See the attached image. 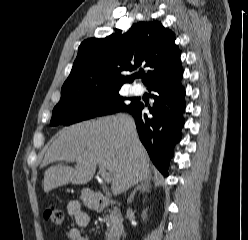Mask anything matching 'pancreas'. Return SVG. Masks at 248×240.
<instances>
[{"instance_id":"obj_1","label":"pancreas","mask_w":248,"mask_h":240,"mask_svg":"<svg viewBox=\"0 0 248 240\" xmlns=\"http://www.w3.org/2000/svg\"><path fill=\"white\" fill-rule=\"evenodd\" d=\"M103 221L107 224L106 240H114L119 234L121 218L116 210H109V214L103 216Z\"/></svg>"}]
</instances>
